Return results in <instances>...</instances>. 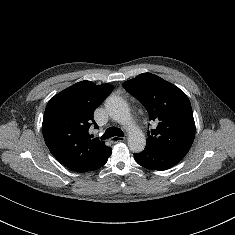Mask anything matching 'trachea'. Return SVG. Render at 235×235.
Listing matches in <instances>:
<instances>
[{"label":"trachea","mask_w":235,"mask_h":235,"mask_svg":"<svg viewBox=\"0 0 235 235\" xmlns=\"http://www.w3.org/2000/svg\"><path fill=\"white\" fill-rule=\"evenodd\" d=\"M113 136L123 137L124 133L120 128L111 127V128L106 129L105 133L102 136V139H108Z\"/></svg>","instance_id":"3493384b"}]
</instances>
